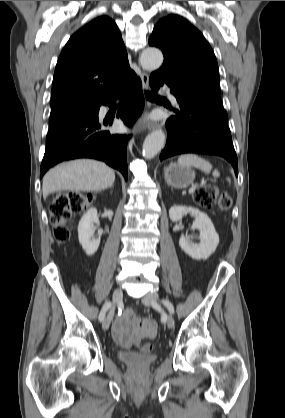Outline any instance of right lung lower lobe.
<instances>
[{
    "mask_svg": "<svg viewBox=\"0 0 285 418\" xmlns=\"http://www.w3.org/2000/svg\"><path fill=\"white\" fill-rule=\"evenodd\" d=\"M141 80L136 75L122 92L115 97L96 104L92 115L71 119L52 127L46 137V149L40 168V178L59 162L76 158H93L104 161L128 178L126 160L127 135L110 134L104 127L112 121H99L101 105L111 106L117 97L121 105L117 117L132 126L141 114L144 97Z\"/></svg>",
    "mask_w": 285,
    "mask_h": 418,
    "instance_id": "98d812e1",
    "label": "right lung lower lobe"
}]
</instances>
